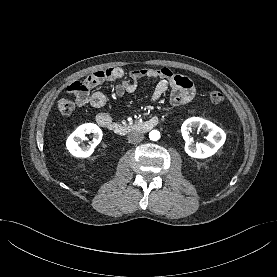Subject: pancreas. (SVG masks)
<instances>
[{"label": "pancreas", "mask_w": 277, "mask_h": 277, "mask_svg": "<svg viewBox=\"0 0 277 277\" xmlns=\"http://www.w3.org/2000/svg\"><path fill=\"white\" fill-rule=\"evenodd\" d=\"M131 126H133V127H137V122H136L134 125H132V124H131Z\"/></svg>", "instance_id": "cf45deb5"}]
</instances>
